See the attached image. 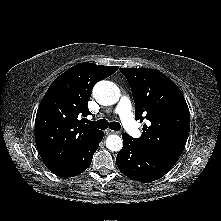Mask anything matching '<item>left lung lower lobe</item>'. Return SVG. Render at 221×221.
Here are the masks:
<instances>
[{
  "label": "left lung lower lobe",
  "mask_w": 221,
  "mask_h": 221,
  "mask_svg": "<svg viewBox=\"0 0 221 221\" xmlns=\"http://www.w3.org/2000/svg\"><path fill=\"white\" fill-rule=\"evenodd\" d=\"M123 148L116 159L118 169L126 176L151 182L164 176L174 165L140 148L128 134H123Z\"/></svg>",
  "instance_id": "0a47b994"
}]
</instances>
